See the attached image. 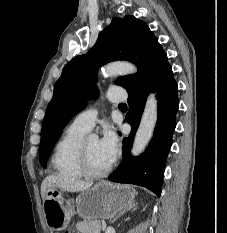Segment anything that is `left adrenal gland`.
I'll list each match as a JSON object with an SVG mask.
<instances>
[{
    "instance_id": "1",
    "label": "left adrenal gland",
    "mask_w": 227,
    "mask_h": 233,
    "mask_svg": "<svg viewBox=\"0 0 227 233\" xmlns=\"http://www.w3.org/2000/svg\"><path fill=\"white\" fill-rule=\"evenodd\" d=\"M136 206V204H133L130 208H128V210H131L132 208H134ZM125 212V211H124ZM124 212H122L121 214H119V216H117L116 218H114L111 223H114L122 214H124Z\"/></svg>"
}]
</instances>
